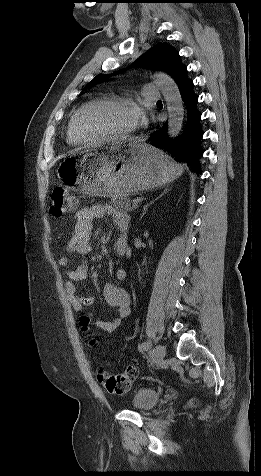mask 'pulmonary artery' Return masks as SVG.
<instances>
[{"label": "pulmonary artery", "instance_id": "1", "mask_svg": "<svg viewBox=\"0 0 261 476\" xmlns=\"http://www.w3.org/2000/svg\"><path fill=\"white\" fill-rule=\"evenodd\" d=\"M143 96L146 100L157 101L161 99L159 89L154 85H145L143 88Z\"/></svg>", "mask_w": 261, "mask_h": 476}]
</instances>
